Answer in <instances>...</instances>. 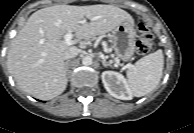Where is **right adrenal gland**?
<instances>
[{
    "instance_id": "1",
    "label": "right adrenal gland",
    "mask_w": 194,
    "mask_h": 133,
    "mask_svg": "<svg viewBox=\"0 0 194 133\" xmlns=\"http://www.w3.org/2000/svg\"><path fill=\"white\" fill-rule=\"evenodd\" d=\"M69 60L65 62V65H66V72H67V78H69V73H70V70H69Z\"/></svg>"
}]
</instances>
